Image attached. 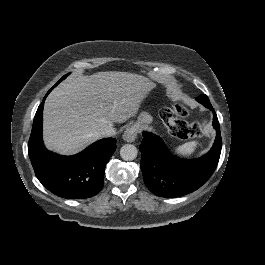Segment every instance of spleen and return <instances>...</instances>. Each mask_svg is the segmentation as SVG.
Here are the masks:
<instances>
[{"label": "spleen", "instance_id": "spleen-1", "mask_svg": "<svg viewBox=\"0 0 265 265\" xmlns=\"http://www.w3.org/2000/svg\"><path fill=\"white\" fill-rule=\"evenodd\" d=\"M199 145L197 141L186 142L175 148V153L182 156H190Z\"/></svg>", "mask_w": 265, "mask_h": 265}]
</instances>
